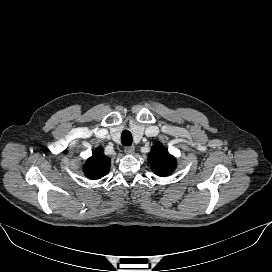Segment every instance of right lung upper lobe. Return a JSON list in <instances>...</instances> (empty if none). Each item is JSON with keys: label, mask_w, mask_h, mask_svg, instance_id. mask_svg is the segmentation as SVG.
<instances>
[{"label": "right lung upper lobe", "mask_w": 272, "mask_h": 272, "mask_svg": "<svg viewBox=\"0 0 272 272\" xmlns=\"http://www.w3.org/2000/svg\"><path fill=\"white\" fill-rule=\"evenodd\" d=\"M110 169V159L101 151H95L87 160L83 171L90 179H100L108 174Z\"/></svg>", "instance_id": "1"}]
</instances>
